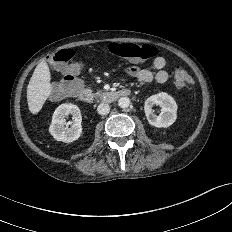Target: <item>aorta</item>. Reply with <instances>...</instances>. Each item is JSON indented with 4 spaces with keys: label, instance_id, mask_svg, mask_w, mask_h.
Masks as SVG:
<instances>
[{
    "label": "aorta",
    "instance_id": "762f6f07",
    "mask_svg": "<svg viewBox=\"0 0 232 232\" xmlns=\"http://www.w3.org/2000/svg\"><path fill=\"white\" fill-rule=\"evenodd\" d=\"M118 105L119 107L121 108H127L129 107L130 105V99L128 97H121L119 100H118Z\"/></svg>",
    "mask_w": 232,
    "mask_h": 232
}]
</instances>
